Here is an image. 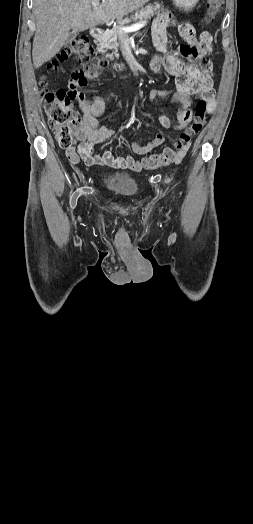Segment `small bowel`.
Segmentation results:
<instances>
[{"instance_id":"c3829d8e","label":"small bowel","mask_w":253,"mask_h":524,"mask_svg":"<svg viewBox=\"0 0 253 524\" xmlns=\"http://www.w3.org/2000/svg\"><path fill=\"white\" fill-rule=\"evenodd\" d=\"M179 29L180 54L185 57L187 62H200L199 64H186L178 57L168 51V34L167 21L157 20L152 28V40L157 54L149 62L148 74L150 76L162 77L166 71L176 77L177 90L171 91L166 89H152L148 98L150 100L158 98L171 97L174 101L180 103L181 109L177 114V123L172 126L170 119L166 115L159 117L160 124L165 128L173 127L175 130H183L191 120L189 107L191 105V96L200 95L201 99L211 101L214 96L212 63L207 58L205 52L212 51L214 46L212 42V31L205 27L202 29L198 42V35L194 28L186 22L177 23ZM81 101L79 103L82 111V127L77 131L76 137L80 141L77 147L66 150L68 160L73 164L84 163L87 166L107 165L115 169H129L140 171L142 164L132 156L117 157L112 151L107 149L98 155L94 152V145L111 139L114 131L106 126H100L97 123V117L101 116L105 109L106 99L97 96L90 102L85 101L84 96L80 93ZM165 141L162 133L157 134L153 139L144 144L133 143L132 150L139 155L147 154L157 148Z\"/></svg>"}]
</instances>
